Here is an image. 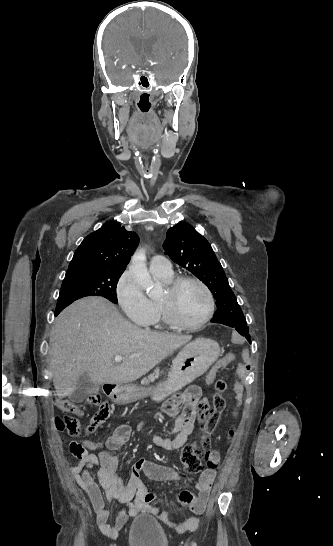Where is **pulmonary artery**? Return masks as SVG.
<instances>
[{
	"instance_id": "pulmonary-artery-1",
	"label": "pulmonary artery",
	"mask_w": 333,
	"mask_h": 546,
	"mask_svg": "<svg viewBox=\"0 0 333 546\" xmlns=\"http://www.w3.org/2000/svg\"><path fill=\"white\" fill-rule=\"evenodd\" d=\"M149 268L152 273L162 276H171L173 274L171 261L163 255H155L149 262Z\"/></svg>"
}]
</instances>
